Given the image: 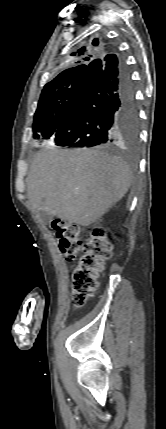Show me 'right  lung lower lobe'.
Here are the masks:
<instances>
[{
	"instance_id": "right-lung-lower-lobe-1",
	"label": "right lung lower lobe",
	"mask_w": 166,
	"mask_h": 429,
	"mask_svg": "<svg viewBox=\"0 0 166 429\" xmlns=\"http://www.w3.org/2000/svg\"><path fill=\"white\" fill-rule=\"evenodd\" d=\"M138 125L135 86L123 58L93 60L54 133L58 146L91 147L112 141L119 129Z\"/></svg>"
}]
</instances>
